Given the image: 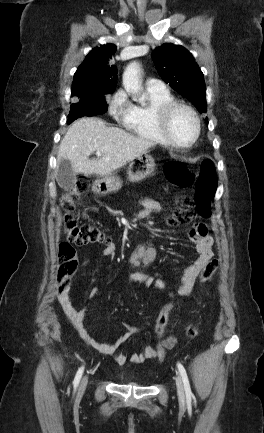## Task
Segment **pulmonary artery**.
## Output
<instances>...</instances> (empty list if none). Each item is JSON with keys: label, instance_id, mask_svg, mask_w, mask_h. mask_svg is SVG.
I'll list each match as a JSON object with an SVG mask.
<instances>
[{"label": "pulmonary artery", "instance_id": "pulmonary-artery-1", "mask_svg": "<svg viewBox=\"0 0 264 433\" xmlns=\"http://www.w3.org/2000/svg\"><path fill=\"white\" fill-rule=\"evenodd\" d=\"M146 88L154 92H164L167 90L164 82L154 78H150L146 81Z\"/></svg>", "mask_w": 264, "mask_h": 433}]
</instances>
